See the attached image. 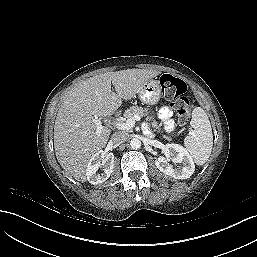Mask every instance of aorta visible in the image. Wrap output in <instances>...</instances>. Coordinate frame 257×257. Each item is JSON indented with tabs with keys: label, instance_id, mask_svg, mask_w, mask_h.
I'll return each instance as SVG.
<instances>
[{
	"label": "aorta",
	"instance_id": "obj_1",
	"mask_svg": "<svg viewBox=\"0 0 257 257\" xmlns=\"http://www.w3.org/2000/svg\"><path fill=\"white\" fill-rule=\"evenodd\" d=\"M130 146L132 149H139L141 147V141L138 138H133L130 141Z\"/></svg>",
	"mask_w": 257,
	"mask_h": 257
}]
</instances>
